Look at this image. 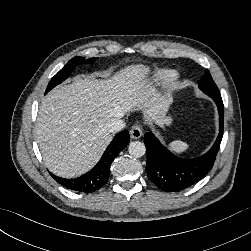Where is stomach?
<instances>
[{
	"label": "stomach",
	"mask_w": 251,
	"mask_h": 251,
	"mask_svg": "<svg viewBox=\"0 0 251 251\" xmlns=\"http://www.w3.org/2000/svg\"><path fill=\"white\" fill-rule=\"evenodd\" d=\"M171 121H172V120H171L170 117L164 116V118L162 119L161 125H164V124L168 125V124L171 123Z\"/></svg>",
	"instance_id": "stomach-1"
}]
</instances>
